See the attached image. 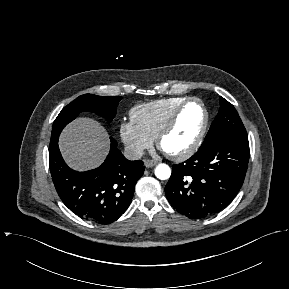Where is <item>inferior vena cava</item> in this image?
<instances>
[{"mask_svg":"<svg viewBox=\"0 0 289 289\" xmlns=\"http://www.w3.org/2000/svg\"><path fill=\"white\" fill-rule=\"evenodd\" d=\"M124 156L128 160H139L143 156V149L134 146H127L124 150Z\"/></svg>","mask_w":289,"mask_h":289,"instance_id":"obj_1","label":"inferior vena cava"}]
</instances>
